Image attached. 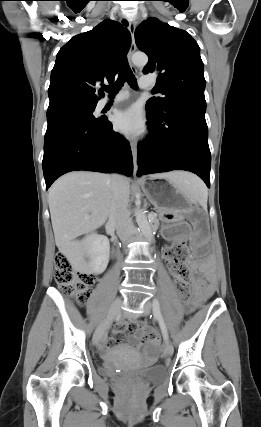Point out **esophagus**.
I'll use <instances>...</instances> for the list:
<instances>
[{
    "label": "esophagus",
    "instance_id": "1",
    "mask_svg": "<svg viewBox=\"0 0 261 427\" xmlns=\"http://www.w3.org/2000/svg\"><path fill=\"white\" fill-rule=\"evenodd\" d=\"M128 29H129V32H130V35H131V45H130V49H129L127 58H128V61H129V64L131 66L132 71L133 72H137V69L135 68V66L132 63V57H133V54H134V52L136 50V44H135L136 22L134 20H131L129 22ZM131 152H132V158H133L134 176L136 177L137 172H138V163H137L138 152H137L136 144L134 142H131Z\"/></svg>",
    "mask_w": 261,
    "mask_h": 427
}]
</instances>
